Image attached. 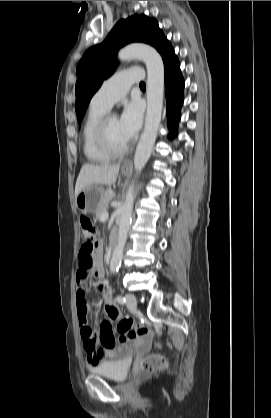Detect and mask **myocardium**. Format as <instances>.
Returning a JSON list of instances; mask_svg holds the SVG:
<instances>
[{
  "label": "myocardium",
  "instance_id": "f54148a6",
  "mask_svg": "<svg viewBox=\"0 0 271 418\" xmlns=\"http://www.w3.org/2000/svg\"><path fill=\"white\" fill-rule=\"evenodd\" d=\"M114 117L112 114H105L99 121L95 130V142L97 147L105 154L111 157H117L125 154L129 150V143L121 147H117L112 144L109 138L108 126L111 118Z\"/></svg>",
  "mask_w": 271,
  "mask_h": 418
}]
</instances>
